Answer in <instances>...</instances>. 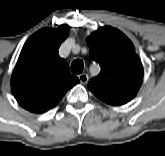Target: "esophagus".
Segmentation results:
<instances>
[{
	"mask_svg": "<svg viewBox=\"0 0 165 156\" xmlns=\"http://www.w3.org/2000/svg\"><path fill=\"white\" fill-rule=\"evenodd\" d=\"M78 78H79L80 82L83 84L87 83L88 79H89V77L86 73H82V74L78 75Z\"/></svg>",
	"mask_w": 165,
	"mask_h": 156,
	"instance_id": "34e87169",
	"label": "esophagus"
}]
</instances>
